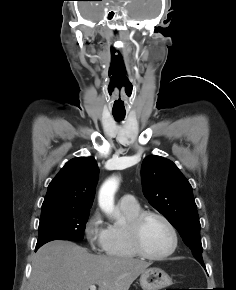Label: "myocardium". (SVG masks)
I'll list each match as a JSON object with an SVG mask.
<instances>
[{
	"instance_id": "myocardium-1",
	"label": "myocardium",
	"mask_w": 236,
	"mask_h": 290,
	"mask_svg": "<svg viewBox=\"0 0 236 290\" xmlns=\"http://www.w3.org/2000/svg\"><path fill=\"white\" fill-rule=\"evenodd\" d=\"M149 217L160 219L169 229L172 236V245L168 251L162 254H150L142 243V227L145 220ZM128 235L135 253L149 260H163L174 254L178 247V233L172 222L162 213L154 210H142L135 215L128 224Z\"/></svg>"
}]
</instances>
